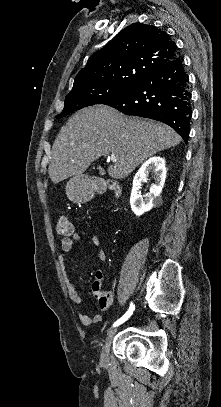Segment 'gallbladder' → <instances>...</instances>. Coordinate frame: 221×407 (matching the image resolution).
Segmentation results:
<instances>
[{"label":"gallbladder","mask_w":221,"mask_h":407,"mask_svg":"<svg viewBox=\"0 0 221 407\" xmlns=\"http://www.w3.org/2000/svg\"><path fill=\"white\" fill-rule=\"evenodd\" d=\"M100 174L103 175L104 171L102 169L99 170Z\"/></svg>","instance_id":"obj_1"}]
</instances>
